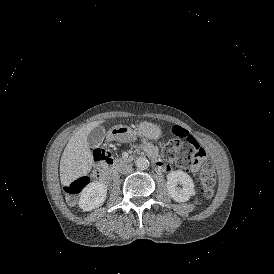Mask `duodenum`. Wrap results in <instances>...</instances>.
<instances>
[{"instance_id":"1","label":"duodenum","mask_w":274,"mask_h":274,"mask_svg":"<svg viewBox=\"0 0 274 274\" xmlns=\"http://www.w3.org/2000/svg\"><path fill=\"white\" fill-rule=\"evenodd\" d=\"M149 155H152L148 152ZM95 161L103 168L108 169L112 175H115L119 166L123 164L126 161H118L114 162L109 156L102 152H96L94 154ZM153 165L154 167L159 171H169L170 168L166 164H164L162 161L153 158Z\"/></svg>"}]
</instances>
